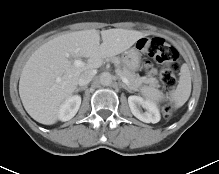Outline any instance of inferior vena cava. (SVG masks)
<instances>
[{"instance_id": "602c4592", "label": "inferior vena cava", "mask_w": 219, "mask_h": 174, "mask_svg": "<svg viewBox=\"0 0 219 174\" xmlns=\"http://www.w3.org/2000/svg\"><path fill=\"white\" fill-rule=\"evenodd\" d=\"M95 74H96V70H87L83 72L79 77L78 84L80 86L87 85L93 79Z\"/></svg>"}]
</instances>
